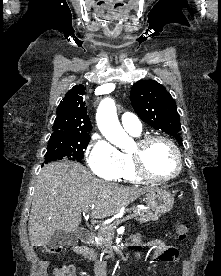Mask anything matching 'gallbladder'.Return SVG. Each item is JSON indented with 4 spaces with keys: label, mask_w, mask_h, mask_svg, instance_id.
<instances>
[{
    "label": "gallbladder",
    "mask_w": 221,
    "mask_h": 276,
    "mask_svg": "<svg viewBox=\"0 0 221 276\" xmlns=\"http://www.w3.org/2000/svg\"><path fill=\"white\" fill-rule=\"evenodd\" d=\"M78 241V237L73 232H66L61 229H57L49 242V246L51 247H66L75 245Z\"/></svg>",
    "instance_id": "gallbladder-1"
}]
</instances>
